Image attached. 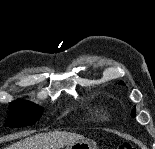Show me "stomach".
Returning <instances> with one entry per match:
<instances>
[{
    "label": "stomach",
    "instance_id": "1",
    "mask_svg": "<svg viewBox=\"0 0 155 149\" xmlns=\"http://www.w3.org/2000/svg\"><path fill=\"white\" fill-rule=\"evenodd\" d=\"M65 149H97V145L90 139H80L74 143L66 145Z\"/></svg>",
    "mask_w": 155,
    "mask_h": 149
}]
</instances>
